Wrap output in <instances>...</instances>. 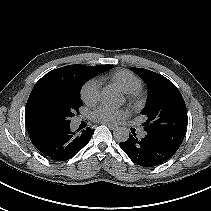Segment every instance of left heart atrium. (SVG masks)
Segmentation results:
<instances>
[{"label": "left heart atrium", "mask_w": 211, "mask_h": 211, "mask_svg": "<svg viewBox=\"0 0 211 211\" xmlns=\"http://www.w3.org/2000/svg\"><path fill=\"white\" fill-rule=\"evenodd\" d=\"M126 115V111L118 109L108 105H100L91 114V117L95 121L106 122V121H117Z\"/></svg>", "instance_id": "left-heart-atrium-1"}]
</instances>
